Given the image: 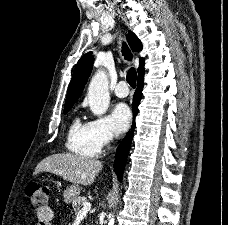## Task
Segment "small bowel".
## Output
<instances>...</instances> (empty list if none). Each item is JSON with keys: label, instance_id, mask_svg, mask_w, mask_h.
<instances>
[{"label": "small bowel", "instance_id": "1", "mask_svg": "<svg viewBox=\"0 0 228 225\" xmlns=\"http://www.w3.org/2000/svg\"><path fill=\"white\" fill-rule=\"evenodd\" d=\"M38 225H52L53 211L50 207L37 212Z\"/></svg>", "mask_w": 228, "mask_h": 225}]
</instances>
